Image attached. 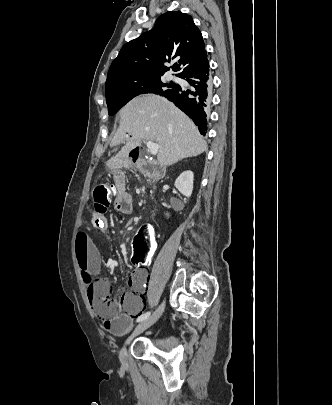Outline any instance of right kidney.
Instances as JSON below:
<instances>
[{
	"mask_svg": "<svg viewBox=\"0 0 332 405\" xmlns=\"http://www.w3.org/2000/svg\"><path fill=\"white\" fill-rule=\"evenodd\" d=\"M194 174L192 171H184L175 180V187L187 198L192 195ZM168 215V214H167Z\"/></svg>",
	"mask_w": 332,
	"mask_h": 405,
	"instance_id": "right-kidney-1",
	"label": "right kidney"
}]
</instances>
